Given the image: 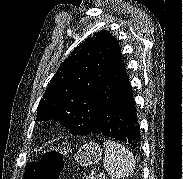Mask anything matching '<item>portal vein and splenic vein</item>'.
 <instances>
[{
  "instance_id": "portal-vein-and-splenic-vein-1",
  "label": "portal vein and splenic vein",
  "mask_w": 183,
  "mask_h": 179,
  "mask_svg": "<svg viewBox=\"0 0 183 179\" xmlns=\"http://www.w3.org/2000/svg\"><path fill=\"white\" fill-rule=\"evenodd\" d=\"M104 175H105V173H103V172L98 174L99 177H102Z\"/></svg>"
}]
</instances>
